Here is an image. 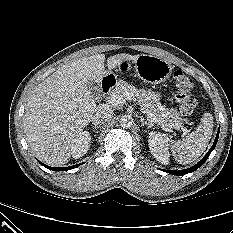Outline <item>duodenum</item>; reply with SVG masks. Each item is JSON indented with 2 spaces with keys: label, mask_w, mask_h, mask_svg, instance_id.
<instances>
[{
  "label": "duodenum",
  "mask_w": 233,
  "mask_h": 233,
  "mask_svg": "<svg viewBox=\"0 0 233 233\" xmlns=\"http://www.w3.org/2000/svg\"><path fill=\"white\" fill-rule=\"evenodd\" d=\"M115 85V80L112 77H105L101 83V91L103 95H106Z\"/></svg>",
  "instance_id": "obj_1"
}]
</instances>
